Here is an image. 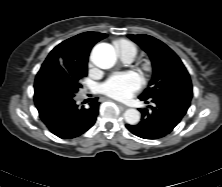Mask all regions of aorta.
<instances>
[{"label":"aorta","instance_id":"aorta-1","mask_svg":"<svg viewBox=\"0 0 222 187\" xmlns=\"http://www.w3.org/2000/svg\"><path fill=\"white\" fill-rule=\"evenodd\" d=\"M92 59L102 69L113 67L117 61L115 48L109 43H99L92 50ZM126 123L136 125L140 121V112L136 109H127L124 113Z\"/></svg>","mask_w":222,"mask_h":187}]
</instances>
